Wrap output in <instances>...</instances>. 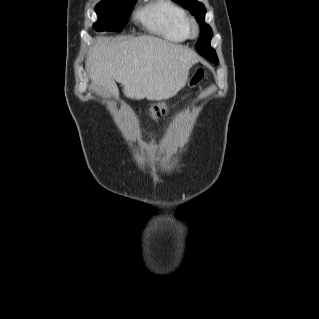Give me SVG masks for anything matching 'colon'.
<instances>
[{
	"instance_id": "5ec220e1",
	"label": "colon",
	"mask_w": 319,
	"mask_h": 319,
	"mask_svg": "<svg viewBox=\"0 0 319 319\" xmlns=\"http://www.w3.org/2000/svg\"><path fill=\"white\" fill-rule=\"evenodd\" d=\"M202 78H203V69L199 67L195 70L194 74L192 75L190 80V85H194L198 83ZM149 113L154 119H158L161 116L167 114L168 109L166 106H163V105H154L153 107L150 108Z\"/></svg>"
}]
</instances>
